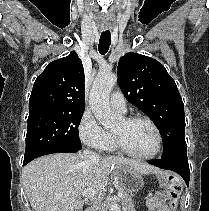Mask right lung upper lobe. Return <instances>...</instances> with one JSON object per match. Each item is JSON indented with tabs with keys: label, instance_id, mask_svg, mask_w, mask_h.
I'll list each match as a JSON object with an SVG mask.
<instances>
[{
	"label": "right lung upper lobe",
	"instance_id": "cb5924a9",
	"mask_svg": "<svg viewBox=\"0 0 209 211\" xmlns=\"http://www.w3.org/2000/svg\"><path fill=\"white\" fill-rule=\"evenodd\" d=\"M85 109L84 70L76 52L48 64L37 77L29 99V114L80 112Z\"/></svg>",
	"mask_w": 209,
	"mask_h": 211
}]
</instances>
